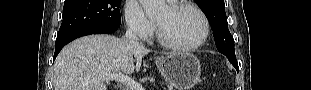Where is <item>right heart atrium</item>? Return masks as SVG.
<instances>
[{
	"instance_id": "1",
	"label": "right heart atrium",
	"mask_w": 311,
	"mask_h": 90,
	"mask_svg": "<svg viewBox=\"0 0 311 90\" xmlns=\"http://www.w3.org/2000/svg\"><path fill=\"white\" fill-rule=\"evenodd\" d=\"M125 22L128 30L142 40L149 39L155 29V25L145 14L137 0H128L125 6Z\"/></svg>"
}]
</instances>
